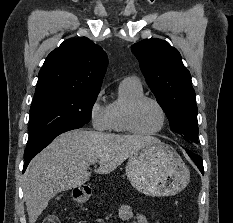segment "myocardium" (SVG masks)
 I'll use <instances>...</instances> for the list:
<instances>
[{
    "label": "myocardium",
    "instance_id": "1",
    "mask_svg": "<svg viewBox=\"0 0 233 223\" xmlns=\"http://www.w3.org/2000/svg\"><path fill=\"white\" fill-rule=\"evenodd\" d=\"M145 102H153L154 104H156L163 115V124H162L161 128L158 129L157 131L150 132V133H146V132L141 131L138 128L137 123H136L137 112H138L139 108L141 107V105ZM168 122H169V116H168L167 110L165 109V107L163 106V104L159 100H157L156 98L151 97V96H144L143 95V96L133 100L128 105L127 110H126L127 128L130 131V133L137 135V136L152 137V136L159 135L165 131V129L168 126Z\"/></svg>",
    "mask_w": 233,
    "mask_h": 223
}]
</instances>
